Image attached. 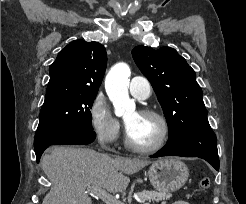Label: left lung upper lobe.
I'll use <instances>...</instances> for the list:
<instances>
[{
    "label": "left lung upper lobe",
    "mask_w": 246,
    "mask_h": 204,
    "mask_svg": "<svg viewBox=\"0 0 246 204\" xmlns=\"http://www.w3.org/2000/svg\"><path fill=\"white\" fill-rule=\"evenodd\" d=\"M132 56L156 92L168 123L169 137L209 124L195 72L176 50L137 46Z\"/></svg>",
    "instance_id": "1"
}]
</instances>
